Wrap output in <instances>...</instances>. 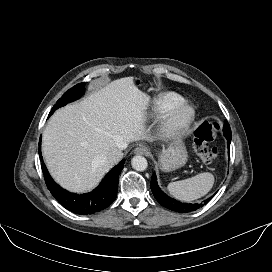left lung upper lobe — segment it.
<instances>
[{"label": "left lung upper lobe", "mask_w": 272, "mask_h": 272, "mask_svg": "<svg viewBox=\"0 0 272 272\" xmlns=\"http://www.w3.org/2000/svg\"><path fill=\"white\" fill-rule=\"evenodd\" d=\"M230 129L228 122H225L223 131H228Z\"/></svg>", "instance_id": "obj_1"}]
</instances>
